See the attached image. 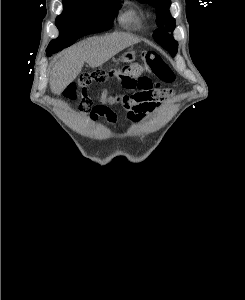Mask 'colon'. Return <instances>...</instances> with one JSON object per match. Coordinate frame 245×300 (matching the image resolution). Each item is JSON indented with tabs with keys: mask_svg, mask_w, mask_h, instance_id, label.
Listing matches in <instances>:
<instances>
[{
	"mask_svg": "<svg viewBox=\"0 0 245 300\" xmlns=\"http://www.w3.org/2000/svg\"><path fill=\"white\" fill-rule=\"evenodd\" d=\"M144 72L155 76L156 81L153 87L157 98L162 99L172 94V91L163 89L161 86L174 82V72L159 53L145 51L141 54L140 62L130 63L113 70L99 69L81 75L79 82L69 86L65 95L70 100H75L79 94H84L93 84H103L109 79L119 82L126 89H133Z\"/></svg>",
	"mask_w": 245,
	"mask_h": 300,
	"instance_id": "1",
	"label": "colon"
}]
</instances>
